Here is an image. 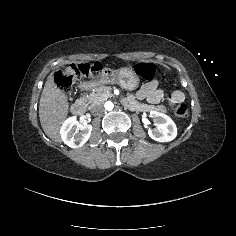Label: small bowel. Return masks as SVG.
I'll list each match as a JSON object with an SVG mask.
<instances>
[{"label": "small bowel", "instance_id": "1", "mask_svg": "<svg viewBox=\"0 0 236 236\" xmlns=\"http://www.w3.org/2000/svg\"><path fill=\"white\" fill-rule=\"evenodd\" d=\"M138 99H146L151 104H157L163 99H167L170 106H174L185 100V95L181 91H173L169 94L158 88V81L153 80L145 85L137 93Z\"/></svg>", "mask_w": 236, "mask_h": 236}]
</instances>
